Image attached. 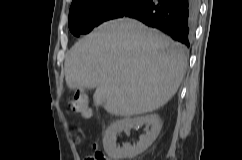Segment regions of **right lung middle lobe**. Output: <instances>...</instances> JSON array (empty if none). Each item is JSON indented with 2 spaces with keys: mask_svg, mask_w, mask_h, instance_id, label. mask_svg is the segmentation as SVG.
I'll return each mask as SVG.
<instances>
[{
  "mask_svg": "<svg viewBox=\"0 0 242 160\" xmlns=\"http://www.w3.org/2000/svg\"><path fill=\"white\" fill-rule=\"evenodd\" d=\"M143 0H83L69 11V29L75 36L86 34L104 21L120 18Z\"/></svg>",
  "mask_w": 242,
  "mask_h": 160,
  "instance_id": "1",
  "label": "right lung middle lobe"
}]
</instances>
